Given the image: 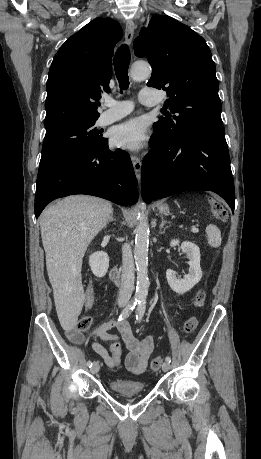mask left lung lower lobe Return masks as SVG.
Instances as JSON below:
<instances>
[{
  "label": "left lung lower lobe",
  "mask_w": 261,
  "mask_h": 459,
  "mask_svg": "<svg viewBox=\"0 0 261 459\" xmlns=\"http://www.w3.org/2000/svg\"><path fill=\"white\" fill-rule=\"evenodd\" d=\"M151 151L142 164L146 203L190 190L219 194L234 212V182L224 131L199 132L173 140L154 131Z\"/></svg>",
  "instance_id": "0a47b994"
}]
</instances>
